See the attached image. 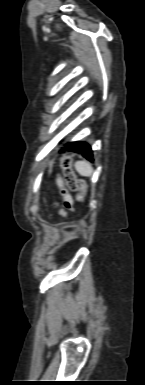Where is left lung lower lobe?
Here are the masks:
<instances>
[{"label": "left lung lower lobe", "instance_id": "obj_1", "mask_svg": "<svg viewBox=\"0 0 145 385\" xmlns=\"http://www.w3.org/2000/svg\"><path fill=\"white\" fill-rule=\"evenodd\" d=\"M64 150H74L75 152H78L82 154L86 159L93 161L92 158V151L88 144L83 142H70L67 143L64 147ZM63 151V150H62Z\"/></svg>", "mask_w": 145, "mask_h": 385}]
</instances>
